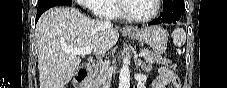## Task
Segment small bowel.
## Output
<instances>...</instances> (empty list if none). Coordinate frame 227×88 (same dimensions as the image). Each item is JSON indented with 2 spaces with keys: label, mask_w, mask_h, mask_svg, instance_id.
<instances>
[{
  "label": "small bowel",
  "mask_w": 227,
  "mask_h": 88,
  "mask_svg": "<svg viewBox=\"0 0 227 88\" xmlns=\"http://www.w3.org/2000/svg\"><path fill=\"white\" fill-rule=\"evenodd\" d=\"M170 82H172L173 85L175 83H180L178 77L172 71L162 67L159 69V75L154 79L152 87L164 88Z\"/></svg>",
  "instance_id": "1"
}]
</instances>
